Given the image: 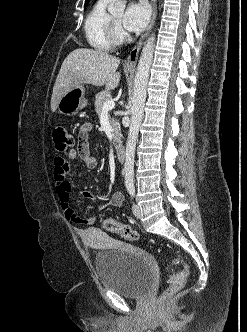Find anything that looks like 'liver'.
Instances as JSON below:
<instances>
[{"label":"liver","mask_w":247,"mask_h":332,"mask_svg":"<svg viewBox=\"0 0 247 332\" xmlns=\"http://www.w3.org/2000/svg\"><path fill=\"white\" fill-rule=\"evenodd\" d=\"M120 59L106 52L79 48L72 51L63 61L56 78L51 97V110L55 112L60 98L80 84L104 86L115 89L121 74L116 72Z\"/></svg>","instance_id":"6515ba94"}]
</instances>
